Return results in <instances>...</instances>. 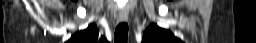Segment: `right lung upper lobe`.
<instances>
[{
	"label": "right lung upper lobe",
	"mask_w": 256,
	"mask_h": 43,
	"mask_svg": "<svg viewBox=\"0 0 256 43\" xmlns=\"http://www.w3.org/2000/svg\"><path fill=\"white\" fill-rule=\"evenodd\" d=\"M106 38L98 39V30L96 25L91 24L87 29L74 34L67 43H107Z\"/></svg>",
	"instance_id": "right-lung-upper-lobe-1"
}]
</instances>
